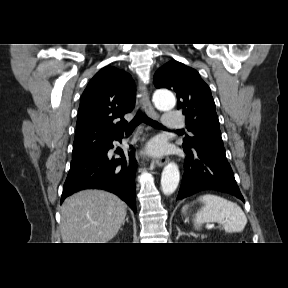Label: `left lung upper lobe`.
I'll return each instance as SVG.
<instances>
[{
    "label": "left lung upper lobe",
    "mask_w": 288,
    "mask_h": 288,
    "mask_svg": "<svg viewBox=\"0 0 288 288\" xmlns=\"http://www.w3.org/2000/svg\"><path fill=\"white\" fill-rule=\"evenodd\" d=\"M154 84L177 94L178 109L183 110L186 128L193 134L183 139L184 149L201 147L226 158L214 99L199 73L171 60L157 70Z\"/></svg>",
    "instance_id": "obj_1"
}]
</instances>
